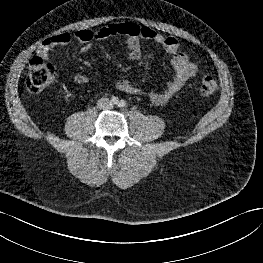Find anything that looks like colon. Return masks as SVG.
I'll return each instance as SVG.
<instances>
[{
    "label": "colon",
    "instance_id": "5ec220e1",
    "mask_svg": "<svg viewBox=\"0 0 263 263\" xmlns=\"http://www.w3.org/2000/svg\"><path fill=\"white\" fill-rule=\"evenodd\" d=\"M55 67L41 57H34L28 67V74L25 80V87L32 93L43 90L56 78ZM218 89L217 81L211 76H205L200 83V92L203 95H210Z\"/></svg>",
    "mask_w": 263,
    "mask_h": 263
}]
</instances>
